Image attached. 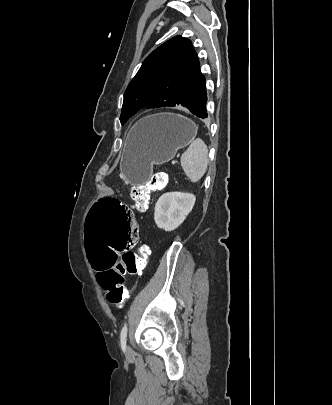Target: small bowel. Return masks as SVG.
<instances>
[{
	"label": "small bowel",
	"mask_w": 332,
	"mask_h": 405,
	"mask_svg": "<svg viewBox=\"0 0 332 405\" xmlns=\"http://www.w3.org/2000/svg\"><path fill=\"white\" fill-rule=\"evenodd\" d=\"M135 220H136V218H135ZM136 227H138V223H137V220H136ZM138 238H139V236H138ZM138 241H139V239H138ZM137 243H135V245H136ZM117 259H118V257H117Z\"/></svg>",
	"instance_id": "obj_1"
}]
</instances>
